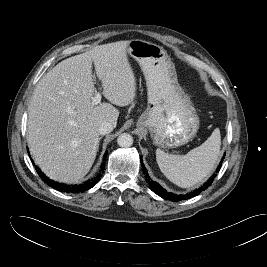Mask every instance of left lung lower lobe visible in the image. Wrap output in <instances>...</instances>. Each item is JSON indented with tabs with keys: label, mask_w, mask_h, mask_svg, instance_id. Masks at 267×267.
<instances>
[{
	"label": "left lung lower lobe",
	"mask_w": 267,
	"mask_h": 267,
	"mask_svg": "<svg viewBox=\"0 0 267 267\" xmlns=\"http://www.w3.org/2000/svg\"><path fill=\"white\" fill-rule=\"evenodd\" d=\"M224 158V156H223ZM221 164L222 161L220 162L216 172H219L220 168H221ZM141 165H142V170L143 173L145 174V178L147 183H149L150 189L156 193L157 195H159L160 197L164 198V199H168L171 201H180V200H184V199H189L191 197H194L196 195H198L200 192L204 191L205 189H207L211 183L213 182L215 176L217 174H214L207 182H205L200 188L194 190L191 193H187L185 195H175L173 193L167 192L164 188H162L157 182H154L151 180V178L148 176L147 171L145 169V166L143 164V161L141 159Z\"/></svg>",
	"instance_id": "obj_1"
}]
</instances>
